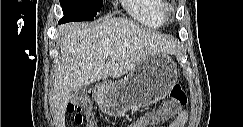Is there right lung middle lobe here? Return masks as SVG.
<instances>
[{
    "mask_svg": "<svg viewBox=\"0 0 243 127\" xmlns=\"http://www.w3.org/2000/svg\"><path fill=\"white\" fill-rule=\"evenodd\" d=\"M64 17L59 23L93 20L100 11L102 0H60Z\"/></svg>",
    "mask_w": 243,
    "mask_h": 127,
    "instance_id": "obj_1",
    "label": "right lung middle lobe"
}]
</instances>
